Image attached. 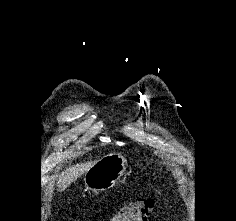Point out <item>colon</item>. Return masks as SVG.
<instances>
[{
  "instance_id": "colon-1",
  "label": "colon",
  "mask_w": 236,
  "mask_h": 221,
  "mask_svg": "<svg viewBox=\"0 0 236 221\" xmlns=\"http://www.w3.org/2000/svg\"><path fill=\"white\" fill-rule=\"evenodd\" d=\"M157 207L153 198H142L124 204L110 221H146Z\"/></svg>"
}]
</instances>
